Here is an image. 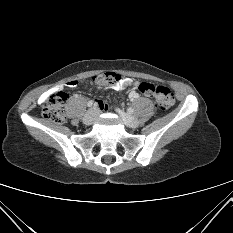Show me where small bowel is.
<instances>
[{"instance_id":"obj_1","label":"small bowel","mask_w":233,"mask_h":233,"mask_svg":"<svg viewBox=\"0 0 233 233\" xmlns=\"http://www.w3.org/2000/svg\"><path fill=\"white\" fill-rule=\"evenodd\" d=\"M109 78L114 82H119L116 85L112 86V88L115 91H118V92H121V91L125 90L126 88H128L130 86H135L136 89H137V86L139 84V83L133 82L130 78H121V80H120V77H117L116 74H114V73H109ZM84 83H85L86 86L89 87V86L92 85L93 82H92L91 79L88 78V79L85 80ZM76 86H77V82L72 81V82H68L65 85H62V86L58 87L57 89H60V88H63V87L75 88ZM136 89H133V90H131L129 92V98L131 100H134V99L138 98V96H139ZM50 93H51V91L44 92L38 99L39 104H44L45 101L47 100L48 96L50 95ZM98 105H99V107L101 109L105 108V106H104V104L102 102H98Z\"/></svg>"}]
</instances>
